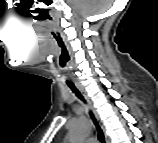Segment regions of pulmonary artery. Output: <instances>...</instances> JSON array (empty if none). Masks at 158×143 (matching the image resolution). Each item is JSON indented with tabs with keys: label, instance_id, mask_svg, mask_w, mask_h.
<instances>
[{
	"label": "pulmonary artery",
	"instance_id": "pulmonary-artery-1",
	"mask_svg": "<svg viewBox=\"0 0 158 143\" xmlns=\"http://www.w3.org/2000/svg\"><path fill=\"white\" fill-rule=\"evenodd\" d=\"M89 142L93 143V142H95V139H89Z\"/></svg>",
	"mask_w": 158,
	"mask_h": 143
}]
</instances>
